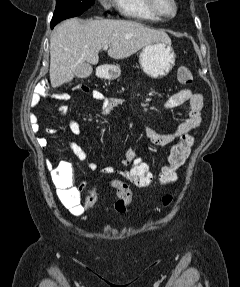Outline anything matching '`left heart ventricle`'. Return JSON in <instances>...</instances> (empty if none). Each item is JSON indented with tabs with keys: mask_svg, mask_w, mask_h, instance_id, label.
<instances>
[{
	"mask_svg": "<svg viewBox=\"0 0 240 287\" xmlns=\"http://www.w3.org/2000/svg\"><path fill=\"white\" fill-rule=\"evenodd\" d=\"M159 6L166 13H171L173 11V4L170 0H159Z\"/></svg>",
	"mask_w": 240,
	"mask_h": 287,
	"instance_id": "obj_1",
	"label": "left heart ventricle"
}]
</instances>
